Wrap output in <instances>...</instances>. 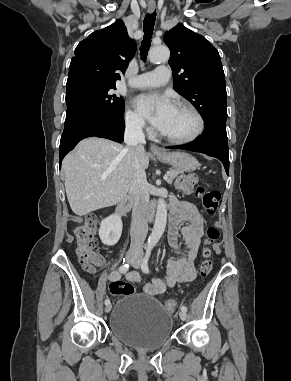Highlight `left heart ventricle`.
I'll list each match as a JSON object with an SVG mask.
<instances>
[{"label": "left heart ventricle", "mask_w": 291, "mask_h": 381, "mask_svg": "<svg viewBox=\"0 0 291 381\" xmlns=\"http://www.w3.org/2000/svg\"><path fill=\"white\" fill-rule=\"evenodd\" d=\"M196 128L197 119L191 111L181 107H174L160 131L171 137L184 138L193 134Z\"/></svg>", "instance_id": "left-heart-ventricle-1"}]
</instances>
